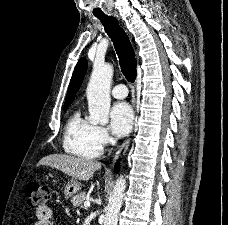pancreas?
<instances>
[{
	"mask_svg": "<svg viewBox=\"0 0 228 225\" xmlns=\"http://www.w3.org/2000/svg\"><path fill=\"white\" fill-rule=\"evenodd\" d=\"M85 193H79V195H75V197H72V205L73 207H82V203L85 201Z\"/></svg>",
	"mask_w": 228,
	"mask_h": 225,
	"instance_id": "obj_1",
	"label": "pancreas"
}]
</instances>
